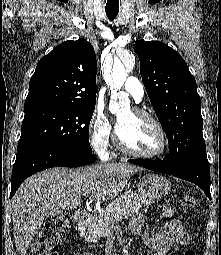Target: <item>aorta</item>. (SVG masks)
<instances>
[{
    "label": "aorta",
    "mask_w": 221,
    "mask_h": 255,
    "mask_svg": "<svg viewBox=\"0 0 221 255\" xmlns=\"http://www.w3.org/2000/svg\"><path fill=\"white\" fill-rule=\"evenodd\" d=\"M135 66V57L132 53L126 52L122 58H114L112 68L104 69V78L111 90V100L109 110L118 116L125 113L126 108L130 105L128 96L120 89L124 84L128 71Z\"/></svg>",
    "instance_id": "aorta-1"
}]
</instances>
